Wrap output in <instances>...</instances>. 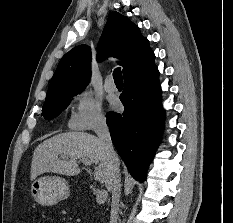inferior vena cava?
I'll list each match as a JSON object with an SVG mask.
<instances>
[{"label":"inferior vena cava","instance_id":"602c4592","mask_svg":"<svg viewBox=\"0 0 233 223\" xmlns=\"http://www.w3.org/2000/svg\"><path fill=\"white\" fill-rule=\"evenodd\" d=\"M96 133L99 137V143L102 149L106 151L109 157V165L112 171L110 183L108 185V189L112 195L109 223H117L121 187L119 157L118 153H116V151H114L113 149L111 135L105 117H102V119H100Z\"/></svg>","mask_w":233,"mask_h":223}]
</instances>
